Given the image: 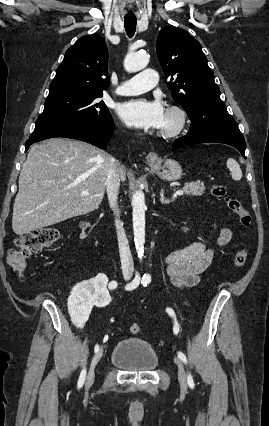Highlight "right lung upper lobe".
<instances>
[{
	"instance_id": "1",
	"label": "right lung upper lobe",
	"mask_w": 269,
	"mask_h": 426,
	"mask_svg": "<svg viewBox=\"0 0 269 426\" xmlns=\"http://www.w3.org/2000/svg\"><path fill=\"white\" fill-rule=\"evenodd\" d=\"M107 63L104 39L99 35L81 37L66 51L49 93L60 90L103 92L110 85Z\"/></svg>"
}]
</instances>
